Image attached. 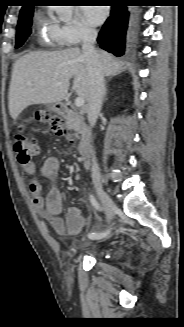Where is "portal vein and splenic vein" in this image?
<instances>
[{
  "label": "portal vein and splenic vein",
  "instance_id": "1",
  "mask_svg": "<svg viewBox=\"0 0 184 327\" xmlns=\"http://www.w3.org/2000/svg\"><path fill=\"white\" fill-rule=\"evenodd\" d=\"M58 85H60V83H58ZM85 101L84 98L79 96L75 99V106L76 107H82L84 105Z\"/></svg>",
  "mask_w": 184,
  "mask_h": 327
}]
</instances>
